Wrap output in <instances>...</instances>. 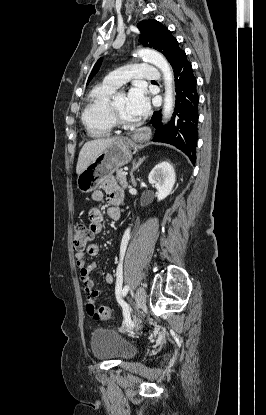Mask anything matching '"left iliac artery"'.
<instances>
[{
  "label": "left iliac artery",
  "instance_id": "left-iliac-artery-1",
  "mask_svg": "<svg viewBox=\"0 0 266 415\" xmlns=\"http://www.w3.org/2000/svg\"><path fill=\"white\" fill-rule=\"evenodd\" d=\"M117 279H116V294L118 295L119 293H120V291H121V294H122V296L124 297V296H126V294L128 293V290H129V286L128 285H126L124 288H123V290H121V287H122V282H123V273H122V270L121 269H119L118 271H117Z\"/></svg>",
  "mask_w": 266,
  "mask_h": 415
}]
</instances>
